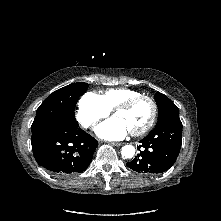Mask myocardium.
I'll list each match as a JSON object with an SVG mask.
<instances>
[{
  "mask_svg": "<svg viewBox=\"0 0 221 221\" xmlns=\"http://www.w3.org/2000/svg\"><path fill=\"white\" fill-rule=\"evenodd\" d=\"M143 99L148 100L151 103L152 114H151L150 120L148 121V123L145 126H143L141 129H139L137 131L130 132L132 136L144 135L154 126L157 116H158V105H157L155 99L149 95L140 94V95H137L135 97H132V98L122 102L113 110V114L115 115L118 111L130 109L138 101L143 100Z\"/></svg>",
  "mask_w": 221,
  "mask_h": 221,
  "instance_id": "1",
  "label": "myocardium"
}]
</instances>
